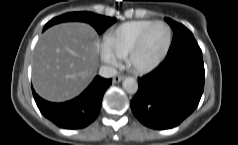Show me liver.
I'll use <instances>...</instances> for the list:
<instances>
[{"label": "liver", "mask_w": 238, "mask_h": 145, "mask_svg": "<svg viewBox=\"0 0 238 145\" xmlns=\"http://www.w3.org/2000/svg\"><path fill=\"white\" fill-rule=\"evenodd\" d=\"M99 42L85 23H63L46 30L34 50L32 82L35 91L51 102L79 95L97 73Z\"/></svg>", "instance_id": "1"}]
</instances>
